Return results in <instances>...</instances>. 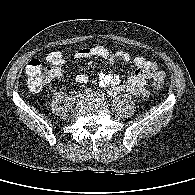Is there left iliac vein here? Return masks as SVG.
<instances>
[{
  "label": "left iliac vein",
  "mask_w": 195,
  "mask_h": 195,
  "mask_svg": "<svg viewBox=\"0 0 195 195\" xmlns=\"http://www.w3.org/2000/svg\"><path fill=\"white\" fill-rule=\"evenodd\" d=\"M87 98H94V99H97V100H102V96L98 93H94V92H89L86 96Z\"/></svg>",
  "instance_id": "left-iliac-vein-1"
}]
</instances>
